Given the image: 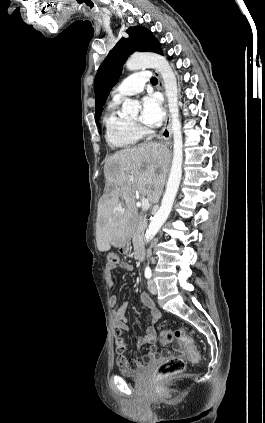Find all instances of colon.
Segmentation results:
<instances>
[{
  "instance_id": "colon-1",
  "label": "colon",
  "mask_w": 265,
  "mask_h": 423,
  "mask_svg": "<svg viewBox=\"0 0 265 423\" xmlns=\"http://www.w3.org/2000/svg\"><path fill=\"white\" fill-rule=\"evenodd\" d=\"M108 263L116 265L119 262V256L115 252H109L107 255ZM174 340L177 341L178 347L183 349L187 355L193 359L198 358V353L193 348L192 338L184 328H180L175 332L170 330H161L159 333V341L162 344H169ZM122 366L133 368L135 365L130 362H121ZM185 368V361L181 357H171L161 363L155 371V379L160 381L168 376L180 373Z\"/></svg>"
}]
</instances>
